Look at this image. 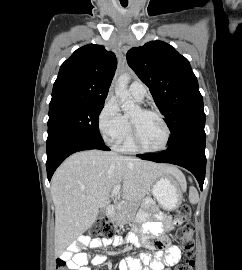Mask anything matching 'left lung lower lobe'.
Segmentation results:
<instances>
[{
	"label": "left lung lower lobe",
	"mask_w": 242,
	"mask_h": 270,
	"mask_svg": "<svg viewBox=\"0 0 242 270\" xmlns=\"http://www.w3.org/2000/svg\"><path fill=\"white\" fill-rule=\"evenodd\" d=\"M205 140V132L193 133L169 145L164 152L138 154L137 157L186 168L194 174L202 190L206 169Z\"/></svg>",
	"instance_id": "obj_1"
}]
</instances>
